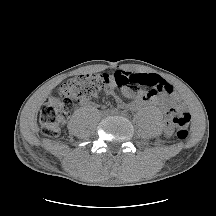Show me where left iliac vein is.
Instances as JSON below:
<instances>
[{"label": "left iliac vein", "mask_w": 216, "mask_h": 216, "mask_svg": "<svg viewBox=\"0 0 216 216\" xmlns=\"http://www.w3.org/2000/svg\"><path fill=\"white\" fill-rule=\"evenodd\" d=\"M114 115H119V113H114Z\"/></svg>", "instance_id": "left-iliac-vein-1"}]
</instances>
